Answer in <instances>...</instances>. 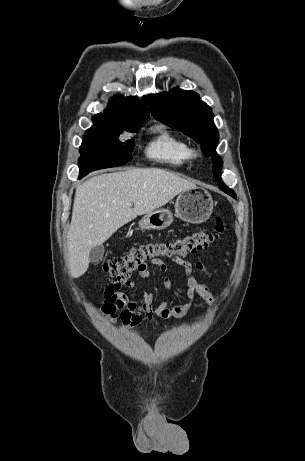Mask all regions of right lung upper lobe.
<instances>
[{"label":"right lung upper lobe","instance_id":"cb5924a9","mask_svg":"<svg viewBox=\"0 0 305 461\" xmlns=\"http://www.w3.org/2000/svg\"><path fill=\"white\" fill-rule=\"evenodd\" d=\"M148 116L145 100L142 103L136 97L118 95L110 100L103 113L97 114L93 119L127 123L144 121Z\"/></svg>","mask_w":305,"mask_h":461}]
</instances>
